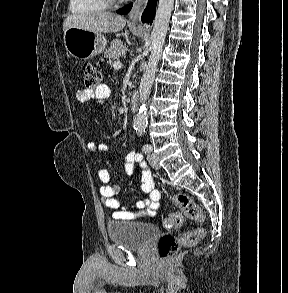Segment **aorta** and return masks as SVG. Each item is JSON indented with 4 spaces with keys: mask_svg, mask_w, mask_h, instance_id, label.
Here are the masks:
<instances>
[{
    "mask_svg": "<svg viewBox=\"0 0 288 293\" xmlns=\"http://www.w3.org/2000/svg\"><path fill=\"white\" fill-rule=\"evenodd\" d=\"M173 5L174 0H159L158 2L157 12L151 32V53L139 87L141 105L133 123L134 128L138 131L145 130L147 126L146 102L151 92L158 62L161 57Z\"/></svg>",
    "mask_w": 288,
    "mask_h": 293,
    "instance_id": "762f6f07",
    "label": "aorta"
}]
</instances>
